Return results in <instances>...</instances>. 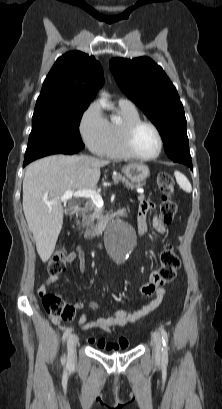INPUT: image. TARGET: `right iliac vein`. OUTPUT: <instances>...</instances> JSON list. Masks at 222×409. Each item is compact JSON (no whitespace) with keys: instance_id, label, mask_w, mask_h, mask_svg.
Wrapping results in <instances>:
<instances>
[{"instance_id":"right-iliac-vein-1","label":"right iliac vein","mask_w":222,"mask_h":409,"mask_svg":"<svg viewBox=\"0 0 222 409\" xmlns=\"http://www.w3.org/2000/svg\"><path fill=\"white\" fill-rule=\"evenodd\" d=\"M78 337L75 334H71L67 340L68 361L73 362L76 357V345Z\"/></svg>"}]
</instances>
